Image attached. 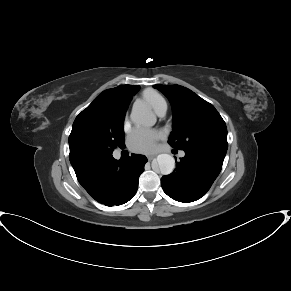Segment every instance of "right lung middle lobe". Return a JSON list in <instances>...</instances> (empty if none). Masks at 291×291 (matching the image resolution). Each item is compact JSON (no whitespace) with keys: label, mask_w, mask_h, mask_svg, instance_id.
Masks as SVG:
<instances>
[{"label":"right lung middle lobe","mask_w":291,"mask_h":291,"mask_svg":"<svg viewBox=\"0 0 291 291\" xmlns=\"http://www.w3.org/2000/svg\"><path fill=\"white\" fill-rule=\"evenodd\" d=\"M126 108L115 101L83 110L75 119L69 136L70 152L97 151L112 153L124 146Z\"/></svg>","instance_id":"right-lung-middle-lobe-1"}]
</instances>
